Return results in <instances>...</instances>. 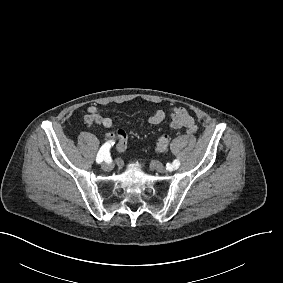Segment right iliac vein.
Returning <instances> with one entry per match:
<instances>
[{"label": "right iliac vein", "instance_id": "63e3f726", "mask_svg": "<svg viewBox=\"0 0 283 283\" xmlns=\"http://www.w3.org/2000/svg\"><path fill=\"white\" fill-rule=\"evenodd\" d=\"M102 169L104 171H111L113 169V165L110 163H103L102 164Z\"/></svg>", "mask_w": 283, "mask_h": 283}]
</instances>
